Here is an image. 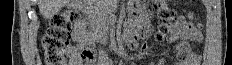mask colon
I'll return each instance as SVG.
<instances>
[{
	"label": "colon",
	"instance_id": "1",
	"mask_svg": "<svg viewBox=\"0 0 232 65\" xmlns=\"http://www.w3.org/2000/svg\"><path fill=\"white\" fill-rule=\"evenodd\" d=\"M157 12L159 30L155 34L156 41H162L171 33L177 21L175 12L165 0L154 1ZM80 20L79 14L74 10L54 16L50 26L42 39L44 49V61L46 65H66L65 47L70 39V27ZM179 51L185 54L189 50L186 44H180ZM95 52L87 49L82 52L81 58L85 65H92L95 61Z\"/></svg>",
	"mask_w": 232,
	"mask_h": 65
}]
</instances>
